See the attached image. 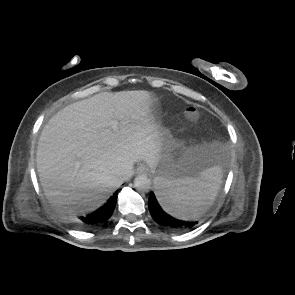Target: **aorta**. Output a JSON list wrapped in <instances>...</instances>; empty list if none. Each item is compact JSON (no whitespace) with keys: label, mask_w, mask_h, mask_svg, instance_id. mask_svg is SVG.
<instances>
[{"label":"aorta","mask_w":295,"mask_h":295,"mask_svg":"<svg viewBox=\"0 0 295 295\" xmlns=\"http://www.w3.org/2000/svg\"><path fill=\"white\" fill-rule=\"evenodd\" d=\"M134 187L142 192H148L151 188V181L146 175H139L134 179Z\"/></svg>","instance_id":"obj_1"}]
</instances>
